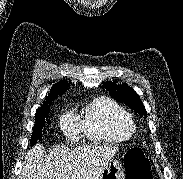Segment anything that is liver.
Here are the masks:
<instances>
[{
	"label": "liver",
	"mask_w": 183,
	"mask_h": 179,
	"mask_svg": "<svg viewBox=\"0 0 183 179\" xmlns=\"http://www.w3.org/2000/svg\"><path fill=\"white\" fill-rule=\"evenodd\" d=\"M116 146H53L49 153L36 144L27 153L20 179H99L118 152Z\"/></svg>",
	"instance_id": "obj_1"
}]
</instances>
